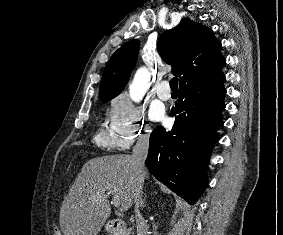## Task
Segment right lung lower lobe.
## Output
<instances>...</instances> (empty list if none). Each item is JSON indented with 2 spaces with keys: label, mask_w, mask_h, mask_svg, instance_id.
I'll return each instance as SVG.
<instances>
[{
  "label": "right lung lower lobe",
  "mask_w": 283,
  "mask_h": 235,
  "mask_svg": "<svg viewBox=\"0 0 283 235\" xmlns=\"http://www.w3.org/2000/svg\"><path fill=\"white\" fill-rule=\"evenodd\" d=\"M222 70L180 86L172 108L176 115L172 131L158 126L149 141L146 166L170 190L190 204L196 203L207 186L205 170L223 125L226 89Z\"/></svg>",
  "instance_id": "98d812e1"
}]
</instances>
